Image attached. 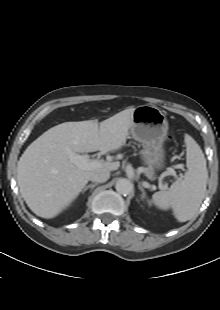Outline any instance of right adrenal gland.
Returning a JSON list of instances; mask_svg holds the SVG:
<instances>
[{
	"mask_svg": "<svg viewBox=\"0 0 220 310\" xmlns=\"http://www.w3.org/2000/svg\"><path fill=\"white\" fill-rule=\"evenodd\" d=\"M96 186H97V183L87 185V186L84 187V189L82 190V193H84L85 191H87L89 188L92 190V189H94V187H96Z\"/></svg>",
	"mask_w": 220,
	"mask_h": 310,
	"instance_id": "right-adrenal-gland-1",
	"label": "right adrenal gland"
}]
</instances>
